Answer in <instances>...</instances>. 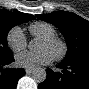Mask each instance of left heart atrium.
Returning a JSON list of instances; mask_svg holds the SVG:
<instances>
[{"mask_svg":"<svg viewBox=\"0 0 89 89\" xmlns=\"http://www.w3.org/2000/svg\"><path fill=\"white\" fill-rule=\"evenodd\" d=\"M54 56L48 50L39 52H23L16 55L15 60L18 66L24 68H35L46 65L53 61Z\"/></svg>","mask_w":89,"mask_h":89,"instance_id":"1","label":"left heart atrium"}]
</instances>
